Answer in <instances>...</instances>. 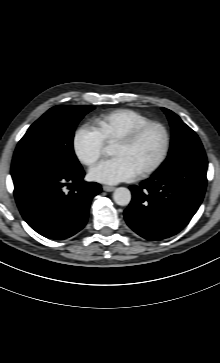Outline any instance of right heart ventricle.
Instances as JSON below:
<instances>
[{
	"label": "right heart ventricle",
	"instance_id": "e07e8e85",
	"mask_svg": "<svg viewBox=\"0 0 220 363\" xmlns=\"http://www.w3.org/2000/svg\"><path fill=\"white\" fill-rule=\"evenodd\" d=\"M142 113L133 109H118L99 117L96 121V130L103 140L112 143L124 134L150 122Z\"/></svg>",
	"mask_w": 220,
	"mask_h": 363
}]
</instances>
